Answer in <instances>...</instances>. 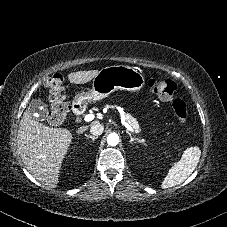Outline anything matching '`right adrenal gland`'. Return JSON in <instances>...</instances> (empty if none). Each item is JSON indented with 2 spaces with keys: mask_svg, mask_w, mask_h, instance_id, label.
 Masks as SVG:
<instances>
[{
  "mask_svg": "<svg viewBox=\"0 0 227 227\" xmlns=\"http://www.w3.org/2000/svg\"><path fill=\"white\" fill-rule=\"evenodd\" d=\"M85 136L88 137V138H91L92 141H94L95 139L98 138V136H92V135H87V134H85Z\"/></svg>",
  "mask_w": 227,
  "mask_h": 227,
  "instance_id": "right-adrenal-gland-1",
  "label": "right adrenal gland"
}]
</instances>
